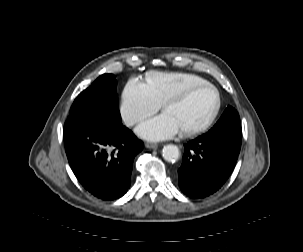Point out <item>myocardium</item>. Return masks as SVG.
<instances>
[{
    "label": "myocardium",
    "instance_id": "obj_1",
    "mask_svg": "<svg viewBox=\"0 0 303 252\" xmlns=\"http://www.w3.org/2000/svg\"><path fill=\"white\" fill-rule=\"evenodd\" d=\"M204 87H208V88L212 89V91L215 94L214 109H213L210 117L202 125H200L196 128H193V129L180 131V133L183 137H191V136H194L198 133H201V132L207 130L213 124V122L215 121V119H216V117L219 113L220 107H221V96H220V93H219L218 89L216 88V86L213 85L210 82H201L200 84H198V85L194 86L193 88L189 89L188 91H186L181 96L168 100L162 106L163 110H167L172 105L184 102L192 93H194L195 91H197L201 88H204Z\"/></svg>",
    "mask_w": 303,
    "mask_h": 252
}]
</instances>
